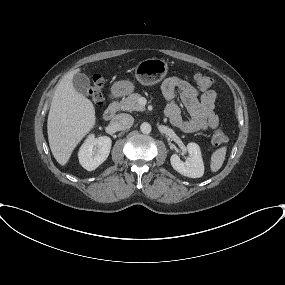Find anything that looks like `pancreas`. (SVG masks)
Segmentation results:
<instances>
[{
  "label": "pancreas",
  "instance_id": "cf45deb5",
  "mask_svg": "<svg viewBox=\"0 0 285 285\" xmlns=\"http://www.w3.org/2000/svg\"><path fill=\"white\" fill-rule=\"evenodd\" d=\"M141 97L138 93H131L127 98H123L120 102H114L113 106L117 110L123 111H144L145 107L139 104V98Z\"/></svg>",
  "mask_w": 285,
  "mask_h": 285
}]
</instances>
